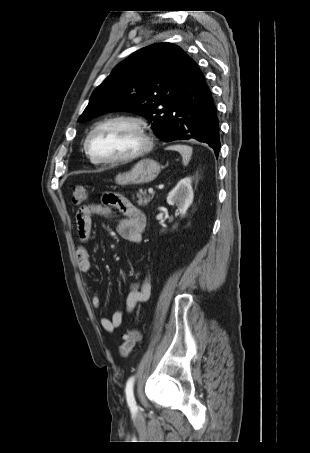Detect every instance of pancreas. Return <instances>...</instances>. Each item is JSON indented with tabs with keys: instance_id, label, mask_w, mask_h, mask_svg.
<instances>
[{
	"instance_id": "1",
	"label": "pancreas",
	"mask_w": 310,
	"mask_h": 453,
	"mask_svg": "<svg viewBox=\"0 0 310 453\" xmlns=\"http://www.w3.org/2000/svg\"><path fill=\"white\" fill-rule=\"evenodd\" d=\"M153 194L152 195H147L146 191L140 190L137 193V203L139 206H146L152 199H153Z\"/></svg>"
}]
</instances>
